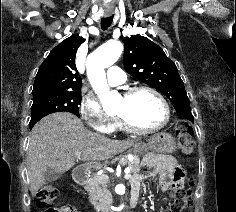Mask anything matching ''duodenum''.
Wrapping results in <instances>:
<instances>
[{
    "mask_svg": "<svg viewBox=\"0 0 236 212\" xmlns=\"http://www.w3.org/2000/svg\"><path fill=\"white\" fill-rule=\"evenodd\" d=\"M73 179L74 181L80 185V186H85L87 184L88 180V172L85 167H77L73 171ZM139 199V190L138 189H133L130 193L128 204L130 206H134L138 203ZM102 212H112L110 208H105L101 210Z\"/></svg>",
    "mask_w": 236,
    "mask_h": 212,
    "instance_id": "duodenum-1",
    "label": "duodenum"
}]
</instances>
